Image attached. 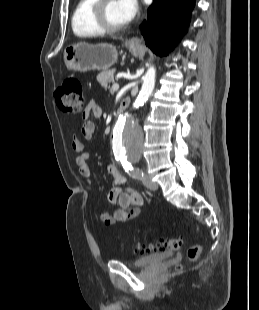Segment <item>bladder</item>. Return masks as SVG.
I'll list each match as a JSON object with an SVG mask.
<instances>
[{
    "mask_svg": "<svg viewBox=\"0 0 259 310\" xmlns=\"http://www.w3.org/2000/svg\"><path fill=\"white\" fill-rule=\"evenodd\" d=\"M174 255L173 252L153 253L144 257L138 258L130 262V266L133 268H144L152 264L167 260Z\"/></svg>",
    "mask_w": 259,
    "mask_h": 310,
    "instance_id": "obj_1",
    "label": "bladder"
}]
</instances>
